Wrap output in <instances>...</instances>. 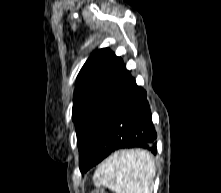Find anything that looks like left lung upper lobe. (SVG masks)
Listing matches in <instances>:
<instances>
[{"mask_svg":"<svg viewBox=\"0 0 221 193\" xmlns=\"http://www.w3.org/2000/svg\"><path fill=\"white\" fill-rule=\"evenodd\" d=\"M127 72L122 59L103 48L92 53L77 77L72 118L81 171L107 130L111 107Z\"/></svg>","mask_w":221,"mask_h":193,"instance_id":"1","label":"left lung upper lobe"}]
</instances>
